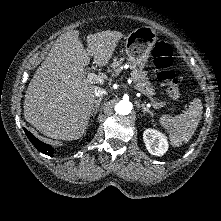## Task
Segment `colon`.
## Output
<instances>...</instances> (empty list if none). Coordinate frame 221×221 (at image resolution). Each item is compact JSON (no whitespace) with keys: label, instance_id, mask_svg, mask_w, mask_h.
Returning a JSON list of instances; mask_svg holds the SVG:
<instances>
[{"label":"colon","instance_id":"1","mask_svg":"<svg viewBox=\"0 0 221 221\" xmlns=\"http://www.w3.org/2000/svg\"><path fill=\"white\" fill-rule=\"evenodd\" d=\"M152 57L158 71V79L166 86L170 98L178 100L181 90L173 69V49L170 43L165 39L156 40L152 50Z\"/></svg>","mask_w":221,"mask_h":221}]
</instances>
